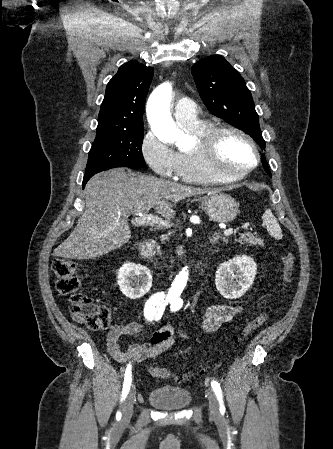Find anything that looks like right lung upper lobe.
Wrapping results in <instances>:
<instances>
[{"label": "right lung upper lobe", "instance_id": "1", "mask_svg": "<svg viewBox=\"0 0 333 449\" xmlns=\"http://www.w3.org/2000/svg\"><path fill=\"white\" fill-rule=\"evenodd\" d=\"M153 73V67L136 61L125 63L119 68L107 84L97 132H134L143 128L145 99Z\"/></svg>", "mask_w": 333, "mask_h": 449}]
</instances>
